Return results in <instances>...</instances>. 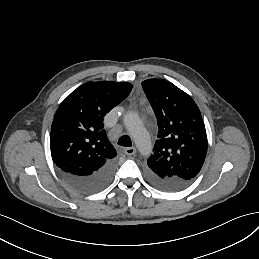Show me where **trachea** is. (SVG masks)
Instances as JSON below:
<instances>
[{"label":"trachea","instance_id":"3493384b","mask_svg":"<svg viewBox=\"0 0 259 259\" xmlns=\"http://www.w3.org/2000/svg\"><path fill=\"white\" fill-rule=\"evenodd\" d=\"M118 144L124 147L132 146V141L129 136L123 135L118 139Z\"/></svg>","mask_w":259,"mask_h":259}]
</instances>
